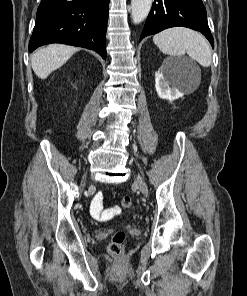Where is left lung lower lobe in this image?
I'll use <instances>...</instances> for the list:
<instances>
[{
  "mask_svg": "<svg viewBox=\"0 0 247 296\" xmlns=\"http://www.w3.org/2000/svg\"><path fill=\"white\" fill-rule=\"evenodd\" d=\"M183 26L200 31L214 47L202 0H154L140 41L166 28Z\"/></svg>",
  "mask_w": 247,
  "mask_h": 296,
  "instance_id": "left-lung-lower-lobe-1",
  "label": "left lung lower lobe"
}]
</instances>
